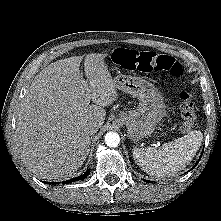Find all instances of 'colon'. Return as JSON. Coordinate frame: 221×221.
I'll list each match as a JSON object with an SVG mask.
<instances>
[{
  "instance_id": "colon-1",
  "label": "colon",
  "mask_w": 221,
  "mask_h": 221,
  "mask_svg": "<svg viewBox=\"0 0 221 221\" xmlns=\"http://www.w3.org/2000/svg\"><path fill=\"white\" fill-rule=\"evenodd\" d=\"M113 60L127 70L167 72L174 77H180L182 74L180 64L173 57L166 54L118 48L113 52ZM179 98L183 119L182 129L184 131H191L195 129L197 124V116L192 98L187 92H181Z\"/></svg>"
}]
</instances>
